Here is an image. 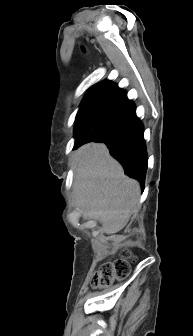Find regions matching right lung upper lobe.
Returning <instances> with one entry per match:
<instances>
[{
	"mask_svg": "<svg viewBox=\"0 0 193 336\" xmlns=\"http://www.w3.org/2000/svg\"><path fill=\"white\" fill-rule=\"evenodd\" d=\"M125 92L110 81H103L90 89L81 102L75 123L79 125L83 121L96 119L103 111L114 109L123 98ZM88 139L76 137V142H84Z\"/></svg>",
	"mask_w": 193,
	"mask_h": 336,
	"instance_id": "1",
	"label": "right lung upper lobe"
}]
</instances>
